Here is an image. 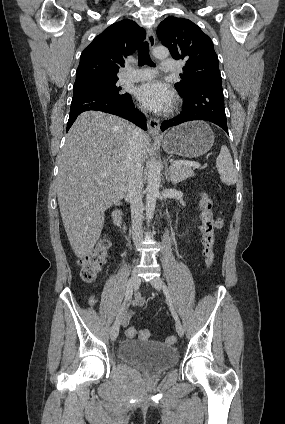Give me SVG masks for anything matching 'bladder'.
<instances>
[{
    "instance_id": "obj_1",
    "label": "bladder",
    "mask_w": 285,
    "mask_h": 424,
    "mask_svg": "<svg viewBox=\"0 0 285 424\" xmlns=\"http://www.w3.org/2000/svg\"><path fill=\"white\" fill-rule=\"evenodd\" d=\"M121 361L141 368L149 373H161L171 368L178 360V352L160 341L124 340L118 347Z\"/></svg>"
}]
</instances>
